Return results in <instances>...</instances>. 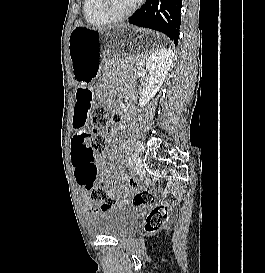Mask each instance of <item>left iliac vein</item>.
<instances>
[{
	"label": "left iliac vein",
	"instance_id": "left-iliac-vein-1",
	"mask_svg": "<svg viewBox=\"0 0 265 273\" xmlns=\"http://www.w3.org/2000/svg\"><path fill=\"white\" fill-rule=\"evenodd\" d=\"M138 146L141 148V151L143 150L144 148V145L142 142H138ZM134 169L137 173H141L142 170H143V163H142V159L140 157H137L135 159V162H134Z\"/></svg>",
	"mask_w": 265,
	"mask_h": 273
}]
</instances>
